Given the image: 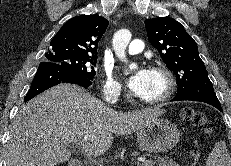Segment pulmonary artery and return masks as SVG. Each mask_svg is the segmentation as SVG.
Segmentation results:
<instances>
[{
	"label": "pulmonary artery",
	"instance_id": "pulmonary-artery-1",
	"mask_svg": "<svg viewBox=\"0 0 231 166\" xmlns=\"http://www.w3.org/2000/svg\"><path fill=\"white\" fill-rule=\"evenodd\" d=\"M144 49V43L140 39H134L129 43L128 54L136 55L142 52Z\"/></svg>",
	"mask_w": 231,
	"mask_h": 166
}]
</instances>
